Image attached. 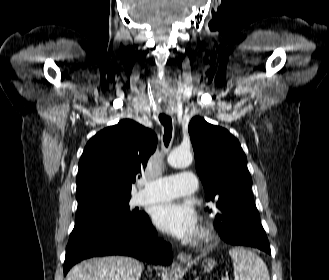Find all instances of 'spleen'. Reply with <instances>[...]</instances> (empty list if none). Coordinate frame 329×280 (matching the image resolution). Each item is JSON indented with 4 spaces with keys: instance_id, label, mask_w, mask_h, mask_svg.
<instances>
[{
    "instance_id": "obj_1",
    "label": "spleen",
    "mask_w": 329,
    "mask_h": 280,
    "mask_svg": "<svg viewBox=\"0 0 329 280\" xmlns=\"http://www.w3.org/2000/svg\"><path fill=\"white\" fill-rule=\"evenodd\" d=\"M235 280H270L264 261L253 251L243 247L229 250Z\"/></svg>"
}]
</instances>
